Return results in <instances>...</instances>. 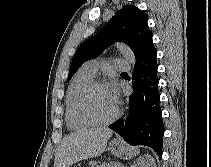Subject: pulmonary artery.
Returning <instances> with one entry per match:
<instances>
[{"instance_id":"obj_1","label":"pulmonary artery","mask_w":211,"mask_h":167,"mask_svg":"<svg viewBox=\"0 0 211 167\" xmlns=\"http://www.w3.org/2000/svg\"><path fill=\"white\" fill-rule=\"evenodd\" d=\"M100 67L108 69L115 68L118 70H127L129 68V62L124 58H115L112 62L105 60H90L87 61L83 66L84 69H86L93 75H95Z\"/></svg>"}]
</instances>
